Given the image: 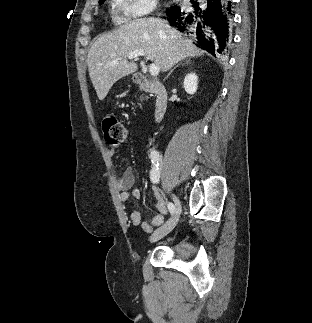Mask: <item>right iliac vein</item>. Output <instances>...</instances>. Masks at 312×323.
Masks as SVG:
<instances>
[{"mask_svg":"<svg viewBox=\"0 0 312 323\" xmlns=\"http://www.w3.org/2000/svg\"><path fill=\"white\" fill-rule=\"evenodd\" d=\"M172 198L175 202L176 209L172 217L165 224H163L157 230L154 231L150 239L152 242L157 241L169 234L174 229L179 220V216L181 214V202L179 198L175 195H173Z\"/></svg>","mask_w":312,"mask_h":323,"instance_id":"1","label":"right iliac vein"}]
</instances>
